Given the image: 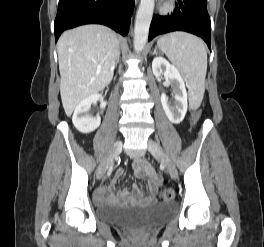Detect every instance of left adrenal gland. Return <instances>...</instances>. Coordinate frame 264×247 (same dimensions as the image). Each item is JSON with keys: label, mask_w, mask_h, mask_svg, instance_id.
<instances>
[{"label": "left adrenal gland", "mask_w": 264, "mask_h": 247, "mask_svg": "<svg viewBox=\"0 0 264 247\" xmlns=\"http://www.w3.org/2000/svg\"><path fill=\"white\" fill-rule=\"evenodd\" d=\"M155 54H157V48H156V47H155V49H154L152 55H155Z\"/></svg>", "instance_id": "obj_1"}]
</instances>
